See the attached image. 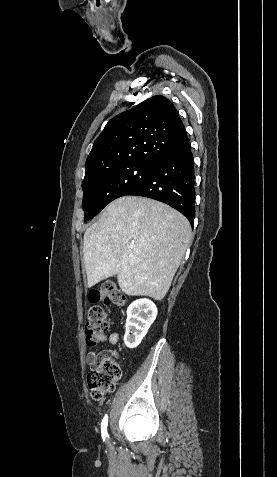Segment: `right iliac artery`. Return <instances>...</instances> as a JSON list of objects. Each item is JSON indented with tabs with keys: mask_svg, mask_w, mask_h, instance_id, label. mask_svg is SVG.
Returning <instances> with one entry per match:
<instances>
[{
	"mask_svg": "<svg viewBox=\"0 0 277 477\" xmlns=\"http://www.w3.org/2000/svg\"><path fill=\"white\" fill-rule=\"evenodd\" d=\"M107 424H108V416L106 415L101 423V432H102V437L105 439L108 434H107Z\"/></svg>",
	"mask_w": 277,
	"mask_h": 477,
	"instance_id": "right-iliac-artery-1",
	"label": "right iliac artery"
}]
</instances>
